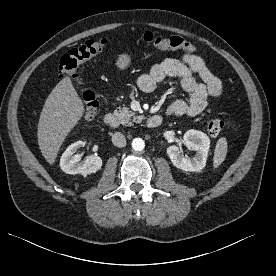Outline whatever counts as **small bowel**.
<instances>
[{"mask_svg": "<svg viewBox=\"0 0 276 276\" xmlns=\"http://www.w3.org/2000/svg\"><path fill=\"white\" fill-rule=\"evenodd\" d=\"M167 78L177 79L188 99H176L167 108V114L194 116L201 113L210 98L222 94V83L207 68L204 60L194 54H184L180 59L167 58L141 74L137 85L143 92H153Z\"/></svg>", "mask_w": 276, "mask_h": 276, "instance_id": "c3829d8e", "label": "small bowel"}]
</instances>
